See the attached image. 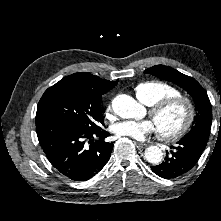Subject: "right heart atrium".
I'll return each instance as SVG.
<instances>
[{"label": "right heart atrium", "mask_w": 221, "mask_h": 221, "mask_svg": "<svg viewBox=\"0 0 221 221\" xmlns=\"http://www.w3.org/2000/svg\"><path fill=\"white\" fill-rule=\"evenodd\" d=\"M110 111H111V107H110V106H108V108H107V116H108V117H110V114H109V113H110Z\"/></svg>", "instance_id": "right-heart-atrium-1"}]
</instances>
